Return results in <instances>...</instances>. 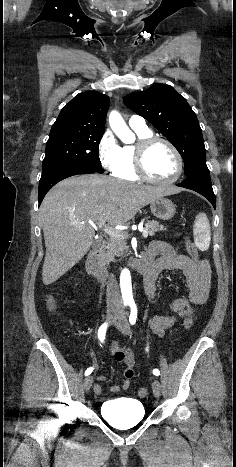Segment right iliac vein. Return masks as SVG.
Segmentation results:
<instances>
[{
    "label": "right iliac vein",
    "instance_id": "right-iliac-vein-1",
    "mask_svg": "<svg viewBox=\"0 0 236 467\" xmlns=\"http://www.w3.org/2000/svg\"><path fill=\"white\" fill-rule=\"evenodd\" d=\"M116 316V313L115 312H109L107 314V320L108 321H111L115 318ZM92 383H93V377L91 375L87 376L85 379H84V389L85 391H89V389L91 388L92 386Z\"/></svg>",
    "mask_w": 236,
    "mask_h": 467
}]
</instances>
